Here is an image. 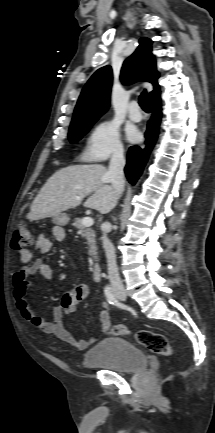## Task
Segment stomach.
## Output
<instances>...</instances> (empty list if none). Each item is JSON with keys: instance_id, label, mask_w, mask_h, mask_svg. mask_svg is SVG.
Instances as JSON below:
<instances>
[{"instance_id": "stomach-1", "label": "stomach", "mask_w": 215, "mask_h": 433, "mask_svg": "<svg viewBox=\"0 0 215 433\" xmlns=\"http://www.w3.org/2000/svg\"><path fill=\"white\" fill-rule=\"evenodd\" d=\"M53 221L61 226L67 225L69 222V216L66 213H61L53 217Z\"/></svg>"}]
</instances>
